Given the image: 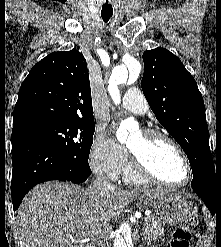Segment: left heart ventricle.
<instances>
[{
    "label": "left heart ventricle",
    "mask_w": 221,
    "mask_h": 247,
    "mask_svg": "<svg viewBox=\"0 0 221 247\" xmlns=\"http://www.w3.org/2000/svg\"><path fill=\"white\" fill-rule=\"evenodd\" d=\"M127 146L146 156L151 168L161 179L171 183H182L187 179L184 162L172 146L165 143L150 146L140 131L130 136Z\"/></svg>",
    "instance_id": "b2bd125f"
}]
</instances>
